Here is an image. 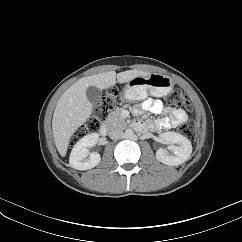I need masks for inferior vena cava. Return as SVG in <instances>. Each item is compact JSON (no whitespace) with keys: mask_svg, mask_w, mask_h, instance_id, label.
I'll list each match as a JSON object with an SVG mask.
<instances>
[{"mask_svg":"<svg viewBox=\"0 0 242 242\" xmlns=\"http://www.w3.org/2000/svg\"><path fill=\"white\" fill-rule=\"evenodd\" d=\"M123 136V131L117 126H112L109 130V137L113 140H117Z\"/></svg>","mask_w":242,"mask_h":242,"instance_id":"inferior-vena-cava-1","label":"inferior vena cava"}]
</instances>
